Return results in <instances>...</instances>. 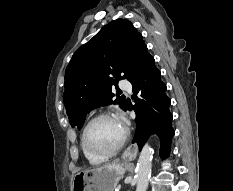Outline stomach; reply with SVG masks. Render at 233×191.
<instances>
[{
	"mask_svg": "<svg viewBox=\"0 0 233 191\" xmlns=\"http://www.w3.org/2000/svg\"><path fill=\"white\" fill-rule=\"evenodd\" d=\"M125 173L121 163H110L77 172L72 191H113Z\"/></svg>",
	"mask_w": 233,
	"mask_h": 191,
	"instance_id": "stomach-1",
	"label": "stomach"
}]
</instances>
